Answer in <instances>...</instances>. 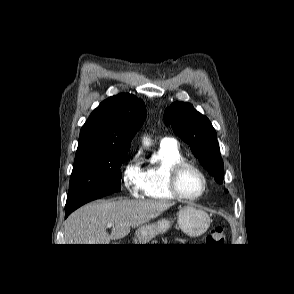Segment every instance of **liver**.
Returning <instances> with one entry per match:
<instances>
[{"instance_id":"6515ba94","label":"liver","mask_w":294,"mask_h":294,"mask_svg":"<svg viewBox=\"0 0 294 294\" xmlns=\"http://www.w3.org/2000/svg\"><path fill=\"white\" fill-rule=\"evenodd\" d=\"M173 203L154 200L91 202L73 212L64 224L66 244H109L161 215ZM113 223L111 233L106 231Z\"/></svg>"}]
</instances>
